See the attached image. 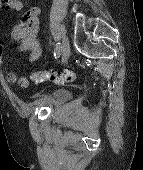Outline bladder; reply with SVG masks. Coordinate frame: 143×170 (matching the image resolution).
<instances>
[{"instance_id": "bladder-1", "label": "bladder", "mask_w": 143, "mask_h": 170, "mask_svg": "<svg viewBox=\"0 0 143 170\" xmlns=\"http://www.w3.org/2000/svg\"><path fill=\"white\" fill-rule=\"evenodd\" d=\"M55 98L58 102H63L69 99V94L66 89L60 88L55 91Z\"/></svg>"}]
</instances>
